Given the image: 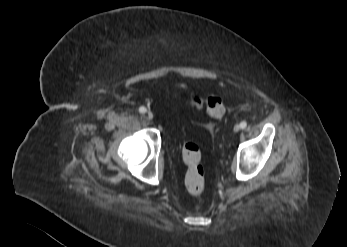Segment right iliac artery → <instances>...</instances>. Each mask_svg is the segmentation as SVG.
Listing matches in <instances>:
<instances>
[{"label":"right iliac artery","instance_id":"82829eb1","mask_svg":"<svg viewBox=\"0 0 347 247\" xmlns=\"http://www.w3.org/2000/svg\"><path fill=\"white\" fill-rule=\"evenodd\" d=\"M146 111H147V109L144 107V106H141L140 108H139V112L140 113H146Z\"/></svg>","mask_w":347,"mask_h":247}]
</instances>
